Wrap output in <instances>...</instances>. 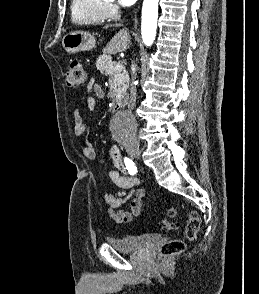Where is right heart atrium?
I'll list each match as a JSON object with an SVG mask.
<instances>
[{
  "instance_id": "obj_1",
  "label": "right heart atrium",
  "mask_w": 259,
  "mask_h": 294,
  "mask_svg": "<svg viewBox=\"0 0 259 294\" xmlns=\"http://www.w3.org/2000/svg\"><path fill=\"white\" fill-rule=\"evenodd\" d=\"M105 11H106L107 16L109 18H112L117 14L118 9L114 3L106 2L105 3Z\"/></svg>"
}]
</instances>
